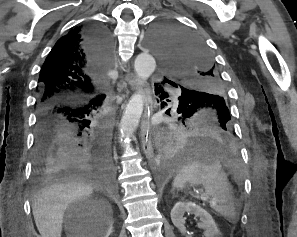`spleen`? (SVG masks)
Segmentation results:
<instances>
[{"instance_id":"1","label":"spleen","mask_w":297,"mask_h":237,"mask_svg":"<svg viewBox=\"0 0 297 237\" xmlns=\"http://www.w3.org/2000/svg\"><path fill=\"white\" fill-rule=\"evenodd\" d=\"M186 183L202 185L205 193L201 200L229 221L236 217L234 198L221 164L216 160H193L179 171L173 181L174 188H182Z\"/></svg>"}]
</instances>
